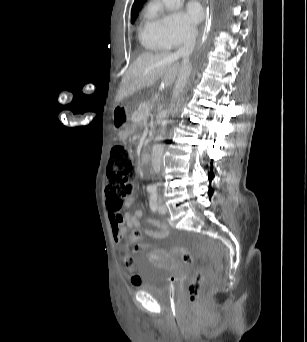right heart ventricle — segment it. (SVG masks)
<instances>
[{
	"label": "right heart ventricle",
	"mask_w": 307,
	"mask_h": 342,
	"mask_svg": "<svg viewBox=\"0 0 307 342\" xmlns=\"http://www.w3.org/2000/svg\"><path fill=\"white\" fill-rule=\"evenodd\" d=\"M138 39L143 51L147 54L158 53L166 49L163 42L145 33L139 34Z\"/></svg>",
	"instance_id": "e07e8e85"
}]
</instances>
